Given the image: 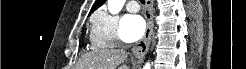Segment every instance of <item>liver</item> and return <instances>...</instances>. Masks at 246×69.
<instances>
[{
  "label": "liver",
  "mask_w": 246,
  "mask_h": 69,
  "mask_svg": "<svg viewBox=\"0 0 246 69\" xmlns=\"http://www.w3.org/2000/svg\"><path fill=\"white\" fill-rule=\"evenodd\" d=\"M127 58V53L120 49H100L82 56L77 69H116ZM122 69H128L122 66Z\"/></svg>",
  "instance_id": "obj_1"
}]
</instances>
